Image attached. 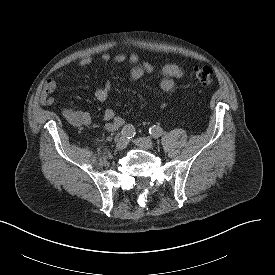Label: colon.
<instances>
[{"mask_svg":"<svg viewBox=\"0 0 275 275\" xmlns=\"http://www.w3.org/2000/svg\"><path fill=\"white\" fill-rule=\"evenodd\" d=\"M195 81L203 86H210L213 83V70L208 66L197 67L193 70Z\"/></svg>","mask_w":275,"mask_h":275,"instance_id":"obj_1","label":"colon"}]
</instances>
